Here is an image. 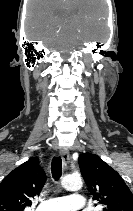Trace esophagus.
Masks as SVG:
<instances>
[{"mask_svg": "<svg viewBox=\"0 0 133 211\" xmlns=\"http://www.w3.org/2000/svg\"><path fill=\"white\" fill-rule=\"evenodd\" d=\"M60 155H61L63 163L66 165L69 161V152L65 149H61Z\"/></svg>", "mask_w": 133, "mask_h": 211, "instance_id": "1", "label": "esophagus"}]
</instances>
